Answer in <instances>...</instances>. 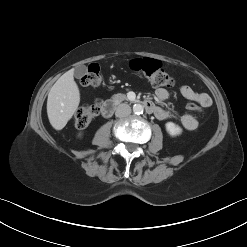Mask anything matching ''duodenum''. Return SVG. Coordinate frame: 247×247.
Here are the masks:
<instances>
[{"label":"duodenum","mask_w":247,"mask_h":247,"mask_svg":"<svg viewBox=\"0 0 247 247\" xmlns=\"http://www.w3.org/2000/svg\"><path fill=\"white\" fill-rule=\"evenodd\" d=\"M117 105H118L117 102L114 100L105 101L102 104V108H101V113H102L103 117H105V118L110 117L113 114V112L115 111ZM144 106H145L146 110L149 112H154L156 109V105L153 104L151 101H145Z\"/></svg>","instance_id":"duodenum-1"}]
</instances>
